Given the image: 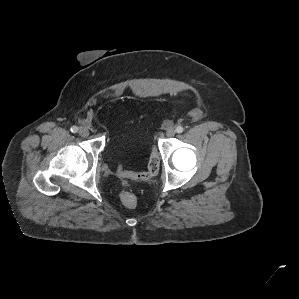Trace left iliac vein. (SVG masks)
<instances>
[{
    "instance_id": "1",
    "label": "left iliac vein",
    "mask_w": 299,
    "mask_h": 299,
    "mask_svg": "<svg viewBox=\"0 0 299 299\" xmlns=\"http://www.w3.org/2000/svg\"><path fill=\"white\" fill-rule=\"evenodd\" d=\"M175 133H176V131H175L173 128H169V129H167V131H166V135H167L168 137H173V136L175 135Z\"/></svg>"
}]
</instances>
